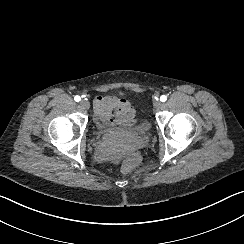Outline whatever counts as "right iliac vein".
Returning <instances> with one entry per match:
<instances>
[{
    "instance_id": "obj_1",
    "label": "right iliac vein",
    "mask_w": 244,
    "mask_h": 244,
    "mask_svg": "<svg viewBox=\"0 0 244 244\" xmlns=\"http://www.w3.org/2000/svg\"><path fill=\"white\" fill-rule=\"evenodd\" d=\"M79 104H80V107L83 109H89L90 108V104L87 100H81Z\"/></svg>"
}]
</instances>
